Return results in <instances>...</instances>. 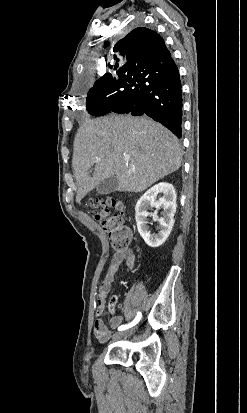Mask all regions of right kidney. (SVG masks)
Instances as JSON below:
<instances>
[{
	"mask_svg": "<svg viewBox=\"0 0 247 413\" xmlns=\"http://www.w3.org/2000/svg\"><path fill=\"white\" fill-rule=\"evenodd\" d=\"M158 198V200H157ZM163 209L161 219H156L159 223L158 233H152L148 227L147 217L149 209ZM176 213V192L170 182H158L148 188L136 202L135 219L138 233L144 239L148 247H160L169 237L174 225V215Z\"/></svg>",
	"mask_w": 247,
	"mask_h": 413,
	"instance_id": "obj_1",
	"label": "right kidney"
}]
</instances>
